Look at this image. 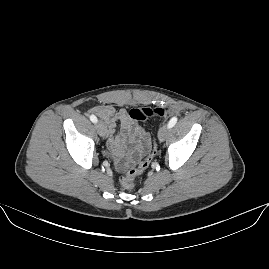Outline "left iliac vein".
Wrapping results in <instances>:
<instances>
[{
    "label": "left iliac vein",
    "mask_w": 269,
    "mask_h": 269,
    "mask_svg": "<svg viewBox=\"0 0 269 269\" xmlns=\"http://www.w3.org/2000/svg\"><path fill=\"white\" fill-rule=\"evenodd\" d=\"M168 132H169L168 125H163L158 131V139L160 141H164L167 137Z\"/></svg>",
    "instance_id": "4c4485c4"
}]
</instances>
